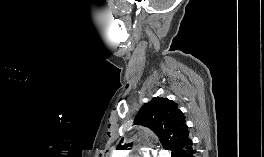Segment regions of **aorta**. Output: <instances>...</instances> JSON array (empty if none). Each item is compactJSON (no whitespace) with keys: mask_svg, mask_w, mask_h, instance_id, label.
Segmentation results:
<instances>
[{"mask_svg":"<svg viewBox=\"0 0 264 157\" xmlns=\"http://www.w3.org/2000/svg\"><path fill=\"white\" fill-rule=\"evenodd\" d=\"M159 155H160V157H169L168 154L166 152H164V151H161L159 153Z\"/></svg>","mask_w":264,"mask_h":157,"instance_id":"762f6f07","label":"aorta"}]
</instances>
